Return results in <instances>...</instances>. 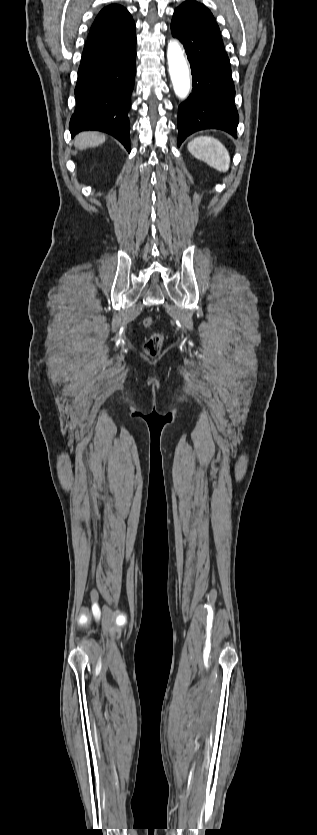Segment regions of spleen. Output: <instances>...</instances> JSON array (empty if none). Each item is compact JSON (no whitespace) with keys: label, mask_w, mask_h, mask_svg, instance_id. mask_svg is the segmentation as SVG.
Listing matches in <instances>:
<instances>
[{"label":"spleen","mask_w":317,"mask_h":835,"mask_svg":"<svg viewBox=\"0 0 317 835\" xmlns=\"http://www.w3.org/2000/svg\"><path fill=\"white\" fill-rule=\"evenodd\" d=\"M189 152L219 172L226 173L230 167V155L226 147L210 136H200L188 143Z\"/></svg>","instance_id":"3e777b00"}]
</instances>
